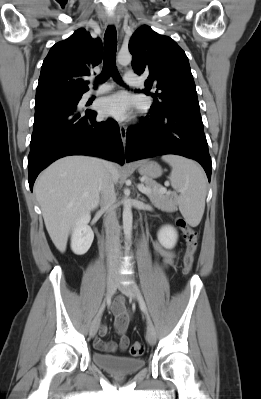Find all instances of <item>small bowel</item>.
<instances>
[{"label":"small bowel","instance_id":"obj_1","mask_svg":"<svg viewBox=\"0 0 261 399\" xmlns=\"http://www.w3.org/2000/svg\"><path fill=\"white\" fill-rule=\"evenodd\" d=\"M155 252L160 256L166 265H171L174 262L175 254L172 250L163 246L159 241L154 244ZM112 312L115 317V330L119 336L117 343L112 341H104L102 338L108 333L107 325L103 324L99 329V336L95 339L94 345L97 349L103 352H115L117 350L125 351L129 346V338L127 336V329L131 321V317L126 310L122 299L117 300L112 306Z\"/></svg>","mask_w":261,"mask_h":399}]
</instances>
